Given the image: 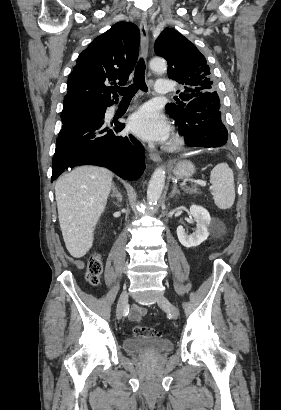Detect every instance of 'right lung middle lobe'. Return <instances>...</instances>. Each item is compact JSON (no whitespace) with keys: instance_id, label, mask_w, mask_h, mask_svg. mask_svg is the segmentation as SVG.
<instances>
[{"instance_id":"1","label":"right lung middle lobe","mask_w":281,"mask_h":410,"mask_svg":"<svg viewBox=\"0 0 281 410\" xmlns=\"http://www.w3.org/2000/svg\"><path fill=\"white\" fill-rule=\"evenodd\" d=\"M102 110L103 107L101 106L89 105L64 107L61 113L63 123L62 130L85 119L98 117L102 113Z\"/></svg>"}]
</instances>
